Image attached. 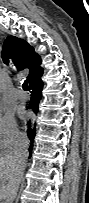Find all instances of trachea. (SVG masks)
I'll return each instance as SVG.
<instances>
[{
	"label": "trachea",
	"instance_id": "trachea-1",
	"mask_svg": "<svg viewBox=\"0 0 89 203\" xmlns=\"http://www.w3.org/2000/svg\"><path fill=\"white\" fill-rule=\"evenodd\" d=\"M22 88H23L24 90H30V88H29L28 83H27L26 80L23 82Z\"/></svg>",
	"mask_w": 89,
	"mask_h": 203
}]
</instances>
